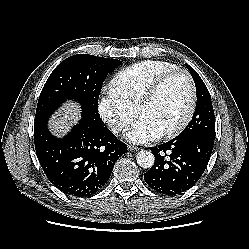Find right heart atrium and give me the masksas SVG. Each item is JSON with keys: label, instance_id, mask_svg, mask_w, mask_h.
Returning a JSON list of instances; mask_svg holds the SVG:
<instances>
[{"label": "right heart atrium", "instance_id": "d8ad5b80", "mask_svg": "<svg viewBox=\"0 0 249 249\" xmlns=\"http://www.w3.org/2000/svg\"><path fill=\"white\" fill-rule=\"evenodd\" d=\"M97 110L101 119L113 132H122L136 117V109L121 99L112 89L98 98Z\"/></svg>", "mask_w": 249, "mask_h": 249}]
</instances>
